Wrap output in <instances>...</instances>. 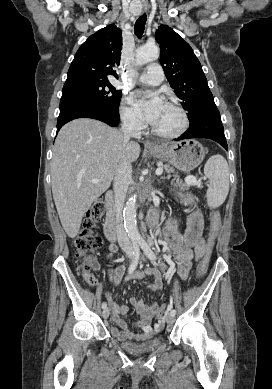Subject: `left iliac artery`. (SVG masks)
<instances>
[{
	"mask_svg": "<svg viewBox=\"0 0 272 389\" xmlns=\"http://www.w3.org/2000/svg\"><path fill=\"white\" fill-rule=\"evenodd\" d=\"M138 243L139 245L141 246L142 250L144 251V253L147 255V257L150 259V260H156V255L155 253L151 250L150 246L148 245V243L144 240V239H139L138 240ZM172 306L169 305V309H171ZM170 314L175 316L176 314V311L174 309H172L170 311Z\"/></svg>",
	"mask_w": 272,
	"mask_h": 389,
	"instance_id": "obj_1",
	"label": "left iliac artery"
}]
</instances>
